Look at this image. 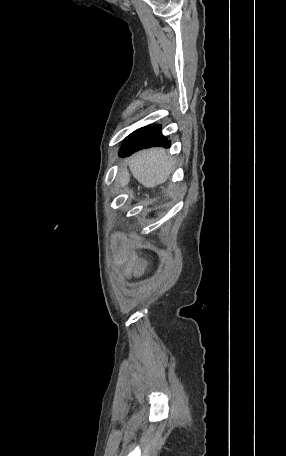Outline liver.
<instances>
[{
  "label": "liver",
  "mask_w": 286,
  "mask_h": 456,
  "mask_svg": "<svg viewBox=\"0 0 286 456\" xmlns=\"http://www.w3.org/2000/svg\"><path fill=\"white\" fill-rule=\"evenodd\" d=\"M132 175L146 188H154L164 183L173 169V158L163 148H150L134 154L129 159ZM122 187L130 181L129 171L121 169L118 175Z\"/></svg>",
  "instance_id": "liver-1"
}]
</instances>
